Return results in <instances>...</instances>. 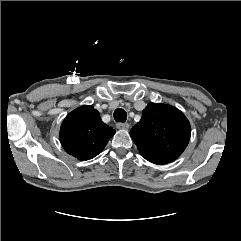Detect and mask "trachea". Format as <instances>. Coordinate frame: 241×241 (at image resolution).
<instances>
[{
  "mask_svg": "<svg viewBox=\"0 0 241 241\" xmlns=\"http://www.w3.org/2000/svg\"><path fill=\"white\" fill-rule=\"evenodd\" d=\"M114 119L116 122L124 123L127 119V113L124 109L118 108L114 111Z\"/></svg>",
  "mask_w": 241,
  "mask_h": 241,
  "instance_id": "1",
  "label": "trachea"
}]
</instances>
